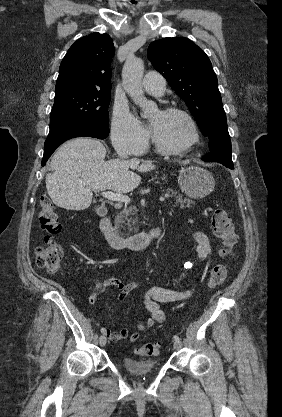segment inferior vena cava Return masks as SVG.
<instances>
[{"mask_svg": "<svg viewBox=\"0 0 282 417\" xmlns=\"http://www.w3.org/2000/svg\"><path fill=\"white\" fill-rule=\"evenodd\" d=\"M116 152L120 158H127V154L124 150H122V148H116Z\"/></svg>", "mask_w": 282, "mask_h": 417, "instance_id": "602c4592", "label": "inferior vena cava"}]
</instances>
